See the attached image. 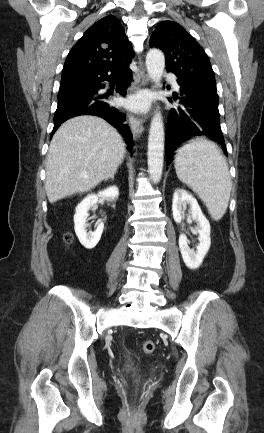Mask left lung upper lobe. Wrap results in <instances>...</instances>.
I'll return each instance as SVG.
<instances>
[{"mask_svg": "<svg viewBox=\"0 0 264 433\" xmlns=\"http://www.w3.org/2000/svg\"><path fill=\"white\" fill-rule=\"evenodd\" d=\"M150 46L160 48L166 58L168 72L186 85L216 88L215 76L203 48L178 23H159L150 38Z\"/></svg>", "mask_w": 264, "mask_h": 433, "instance_id": "5c2ea615", "label": "left lung upper lobe"}]
</instances>
